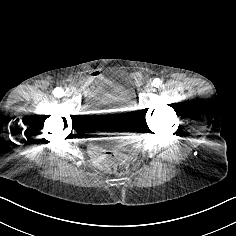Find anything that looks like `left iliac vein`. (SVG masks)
<instances>
[{
	"instance_id": "1",
	"label": "left iliac vein",
	"mask_w": 236,
	"mask_h": 236,
	"mask_svg": "<svg viewBox=\"0 0 236 236\" xmlns=\"http://www.w3.org/2000/svg\"><path fill=\"white\" fill-rule=\"evenodd\" d=\"M144 90H145L147 93H150V92H152L153 87H152L150 84H147V85L144 87Z\"/></svg>"
}]
</instances>
